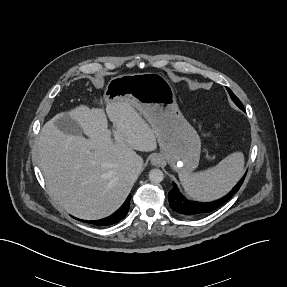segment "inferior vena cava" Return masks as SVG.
<instances>
[{"mask_svg":"<svg viewBox=\"0 0 287 287\" xmlns=\"http://www.w3.org/2000/svg\"><path fill=\"white\" fill-rule=\"evenodd\" d=\"M142 166H143V159L140 156H138L131 164V167L139 172L141 171Z\"/></svg>","mask_w":287,"mask_h":287,"instance_id":"obj_1","label":"inferior vena cava"}]
</instances>
